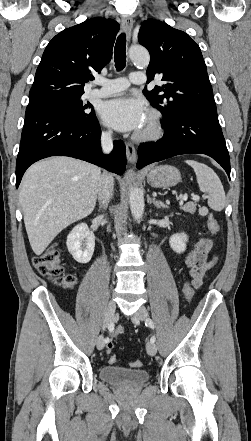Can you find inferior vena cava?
I'll list each match as a JSON object with an SVG mask.
<instances>
[{
    "label": "inferior vena cava",
    "instance_id": "1",
    "mask_svg": "<svg viewBox=\"0 0 251 441\" xmlns=\"http://www.w3.org/2000/svg\"><path fill=\"white\" fill-rule=\"evenodd\" d=\"M101 146L104 153H109L113 149L112 132H103L101 136ZM113 178L107 173H103L98 183V200L103 206H107L112 197Z\"/></svg>",
    "mask_w": 251,
    "mask_h": 441
}]
</instances>
